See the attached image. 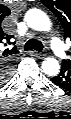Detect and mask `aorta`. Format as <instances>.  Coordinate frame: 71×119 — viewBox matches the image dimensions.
Segmentation results:
<instances>
[{
	"label": "aorta",
	"mask_w": 71,
	"mask_h": 119,
	"mask_svg": "<svg viewBox=\"0 0 71 119\" xmlns=\"http://www.w3.org/2000/svg\"><path fill=\"white\" fill-rule=\"evenodd\" d=\"M25 20L30 28L37 31H48L51 27L48 16L40 9H30L25 15ZM42 69L46 75L56 76L60 65L55 58L48 57L43 61Z\"/></svg>",
	"instance_id": "aorta-1"
}]
</instances>
